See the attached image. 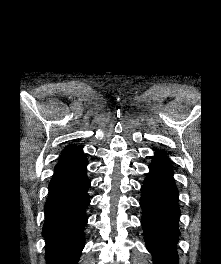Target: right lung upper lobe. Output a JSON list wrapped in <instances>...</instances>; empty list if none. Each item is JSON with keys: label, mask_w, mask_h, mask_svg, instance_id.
<instances>
[{"label": "right lung upper lobe", "mask_w": 221, "mask_h": 264, "mask_svg": "<svg viewBox=\"0 0 221 264\" xmlns=\"http://www.w3.org/2000/svg\"><path fill=\"white\" fill-rule=\"evenodd\" d=\"M79 154H82L81 147H78L76 145H69L64 148L62 155L60 157V160L64 158H69L75 155H79Z\"/></svg>", "instance_id": "cb5924a9"}]
</instances>
